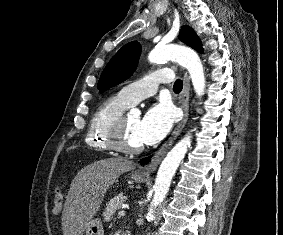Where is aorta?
I'll list each match as a JSON object with an SVG mask.
<instances>
[{
	"label": "aorta",
	"mask_w": 283,
	"mask_h": 235,
	"mask_svg": "<svg viewBox=\"0 0 283 235\" xmlns=\"http://www.w3.org/2000/svg\"><path fill=\"white\" fill-rule=\"evenodd\" d=\"M172 59L188 70L194 91L198 97H201L205 90V76L203 65L195 51L184 46L170 44L156 46L148 55V60L151 63H161ZM132 113L139 114V111L132 110ZM190 145L191 135L188 134L163 159L153 186L154 194L147 218L154 217V209L165 199L172 178Z\"/></svg>",
	"instance_id": "1"
}]
</instances>
